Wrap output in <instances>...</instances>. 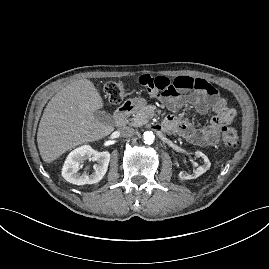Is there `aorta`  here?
Returning <instances> with one entry per match:
<instances>
[{"instance_id":"1","label":"aorta","mask_w":269,"mask_h":269,"mask_svg":"<svg viewBox=\"0 0 269 269\" xmlns=\"http://www.w3.org/2000/svg\"><path fill=\"white\" fill-rule=\"evenodd\" d=\"M143 140L146 144H151L155 140V134L152 131H145L143 134Z\"/></svg>"}]
</instances>
